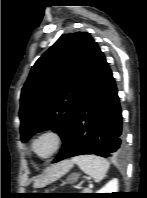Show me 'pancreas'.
Returning <instances> with one entry per match:
<instances>
[{
  "label": "pancreas",
  "mask_w": 147,
  "mask_h": 198,
  "mask_svg": "<svg viewBox=\"0 0 147 198\" xmlns=\"http://www.w3.org/2000/svg\"><path fill=\"white\" fill-rule=\"evenodd\" d=\"M83 192H84V193H90L91 190H90V189H85Z\"/></svg>",
  "instance_id": "cf45deb5"
}]
</instances>
